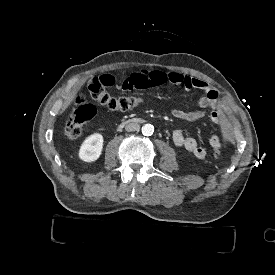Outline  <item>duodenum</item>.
Segmentation results:
<instances>
[{
	"mask_svg": "<svg viewBox=\"0 0 275 275\" xmlns=\"http://www.w3.org/2000/svg\"><path fill=\"white\" fill-rule=\"evenodd\" d=\"M141 122H142V119L131 118V119L124 120L122 122V125L125 126V125H129V124H135V123H141Z\"/></svg>",
	"mask_w": 275,
	"mask_h": 275,
	"instance_id": "1",
	"label": "duodenum"
}]
</instances>
